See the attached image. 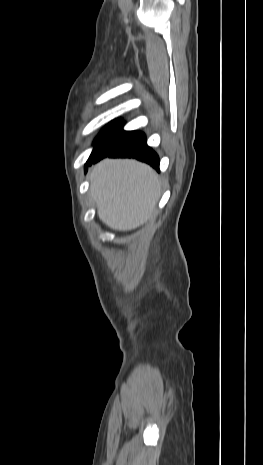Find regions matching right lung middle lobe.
I'll return each instance as SVG.
<instances>
[{
  "label": "right lung middle lobe",
  "instance_id": "obj_1",
  "mask_svg": "<svg viewBox=\"0 0 263 465\" xmlns=\"http://www.w3.org/2000/svg\"><path fill=\"white\" fill-rule=\"evenodd\" d=\"M121 122L122 120H115L102 130V132L99 134V136L95 140L94 149L89 159L92 158L97 153V151L99 150L100 146L105 141V139L121 124Z\"/></svg>",
  "mask_w": 263,
  "mask_h": 465
}]
</instances>
